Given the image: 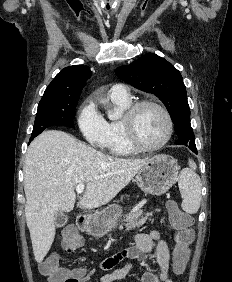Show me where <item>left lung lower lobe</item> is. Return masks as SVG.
<instances>
[{
  "mask_svg": "<svg viewBox=\"0 0 232 282\" xmlns=\"http://www.w3.org/2000/svg\"><path fill=\"white\" fill-rule=\"evenodd\" d=\"M177 144H179L178 141H177ZM189 149H190L191 151H193L195 154H197L196 145H189Z\"/></svg>",
  "mask_w": 232,
  "mask_h": 282,
  "instance_id": "0a47b994",
  "label": "left lung lower lobe"
}]
</instances>
